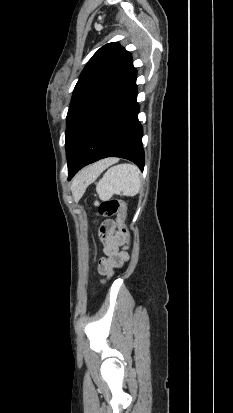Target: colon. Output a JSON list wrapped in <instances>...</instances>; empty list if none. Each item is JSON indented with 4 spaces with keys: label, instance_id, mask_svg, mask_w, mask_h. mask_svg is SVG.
<instances>
[{
    "label": "colon",
    "instance_id": "1",
    "mask_svg": "<svg viewBox=\"0 0 233 413\" xmlns=\"http://www.w3.org/2000/svg\"><path fill=\"white\" fill-rule=\"evenodd\" d=\"M127 207L125 202L117 199H108L102 201L98 206V215L101 217H111L116 215V225L118 233L126 240L129 239V231L125 225ZM104 230V226L101 231Z\"/></svg>",
    "mask_w": 233,
    "mask_h": 413
}]
</instances>
